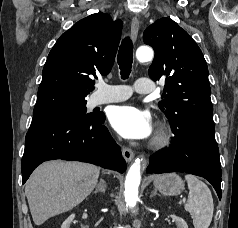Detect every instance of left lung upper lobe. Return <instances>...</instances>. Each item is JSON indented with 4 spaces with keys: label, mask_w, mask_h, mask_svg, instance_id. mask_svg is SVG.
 Returning a JSON list of instances; mask_svg holds the SVG:
<instances>
[{
    "label": "left lung upper lobe",
    "mask_w": 238,
    "mask_h": 228,
    "mask_svg": "<svg viewBox=\"0 0 238 228\" xmlns=\"http://www.w3.org/2000/svg\"><path fill=\"white\" fill-rule=\"evenodd\" d=\"M143 40L155 50L149 76L165 80L159 108L171 126L214 130L208 67L195 41L169 18L150 25Z\"/></svg>",
    "instance_id": "left-lung-upper-lobe-1"
}]
</instances>
